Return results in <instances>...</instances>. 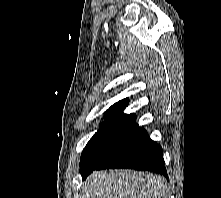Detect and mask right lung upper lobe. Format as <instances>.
I'll list each match as a JSON object with an SVG mask.
<instances>
[{
	"label": "right lung upper lobe",
	"mask_w": 221,
	"mask_h": 198,
	"mask_svg": "<svg viewBox=\"0 0 221 198\" xmlns=\"http://www.w3.org/2000/svg\"><path fill=\"white\" fill-rule=\"evenodd\" d=\"M129 99H123L112 105L105 113L104 119L106 122L119 121V122H135V114H124L122 111L128 105Z\"/></svg>",
	"instance_id": "1"
}]
</instances>
